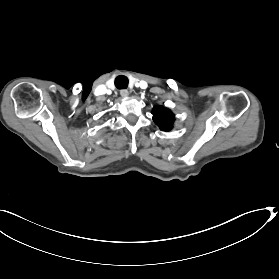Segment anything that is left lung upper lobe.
Here are the masks:
<instances>
[{"instance_id":"left-lung-upper-lobe-1","label":"left lung upper lobe","mask_w":279,"mask_h":279,"mask_svg":"<svg viewBox=\"0 0 279 279\" xmlns=\"http://www.w3.org/2000/svg\"><path fill=\"white\" fill-rule=\"evenodd\" d=\"M153 120L163 131H169L174 121L173 113L165 107L155 106L153 108Z\"/></svg>"}]
</instances>
